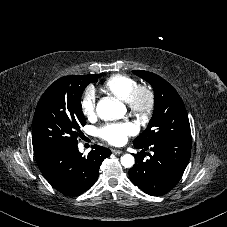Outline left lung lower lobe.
<instances>
[{
	"mask_svg": "<svg viewBox=\"0 0 227 227\" xmlns=\"http://www.w3.org/2000/svg\"><path fill=\"white\" fill-rule=\"evenodd\" d=\"M134 146L151 153L142 151V155L134 154L136 162L129 170L132 183L152 196L168 193L179 182L189 162L191 138L182 137ZM145 154L149 156L148 159H144Z\"/></svg>",
	"mask_w": 227,
	"mask_h": 227,
	"instance_id": "0a47b994",
	"label": "left lung lower lobe"
}]
</instances>
